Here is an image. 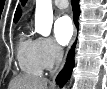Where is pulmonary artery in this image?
Masks as SVG:
<instances>
[{"label": "pulmonary artery", "mask_w": 107, "mask_h": 89, "mask_svg": "<svg viewBox=\"0 0 107 89\" xmlns=\"http://www.w3.org/2000/svg\"><path fill=\"white\" fill-rule=\"evenodd\" d=\"M54 4L59 9H65L68 6L67 0H55Z\"/></svg>", "instance_id": "pulmonary-artery-1"}]
</instances>
